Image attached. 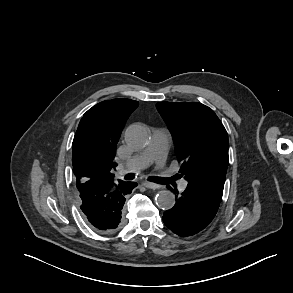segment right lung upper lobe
Here are the masks:
<instances>
[{
  "label": "right lung upper lobe",
  "mask_w": 293,
  "mask_h": 293,
  "mask_svg": "<svg viewBox=\"0 0 293 293\" xmlns=\"http://www.w3.org/2000/svg\"><path fill=\"white\" fill-rule=\"evenodd\" d=\"M137 101L119 98L98 103L82 117L72 143L76 181L113 179L116 144Z\"/></svg>",
  "instance_id": "1"
}]
</instances>
